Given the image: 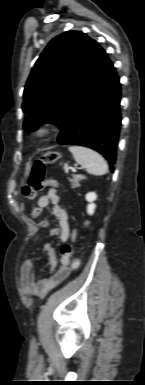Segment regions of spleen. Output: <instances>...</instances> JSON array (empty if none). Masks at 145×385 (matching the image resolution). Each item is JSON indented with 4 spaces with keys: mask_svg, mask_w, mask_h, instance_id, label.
<instances>
[{
    "mask_svg": "<svg viewBox=\"0 0 145 385\" xmlns=\"http://www.w3.org/2000/svg\"><path fill=\"white\" fill-rule=\"evenodd\" d=\"M75 161L83 165L87 172L93 175H104L108 172L105 159L96 151L83 146H70Z\"/></svg>",
    "mask_w": 145,
    "mask_h": 385,
    "instance_id": "1",
    "label": "spleen"
}]
</instances>
